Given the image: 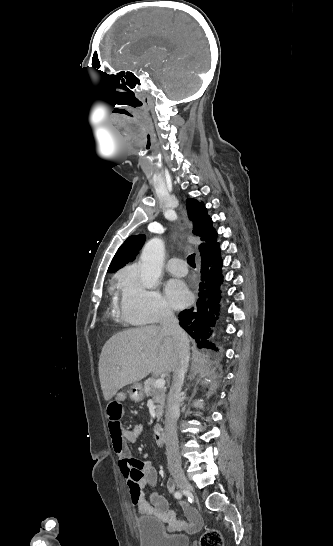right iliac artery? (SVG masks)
<instances>
[{
  "instance_id": "right-iliac-artery-1",
  "label": "right iliac artery",
  "mask_w": 333,
  "mask_h": 546,
  "mask_svg": "<svg viewBox=\"0 0 333 546\" xmlns=\"http://www.w3.org/2000/svg\"><path fill=\"white\" fill-rule=\"evenodd\" d=\"M175 498L180 499L182 497V493L180 491H176L174 493Z\"/></svg>"
}]
</instances>
